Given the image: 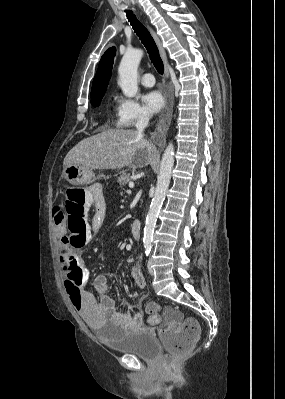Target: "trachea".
Segmentation results:
<instances>
[{
  "label": "trachea",
  "instance_id": "obj_1",
  "mask_svg": "<svg viewBox=\"0 0 285 399\" xmlns=\"http://www.w3.org/2000/svg\"><path fill=\"white\" fill-rule=\"evenodd\" d=\"M126 14L130 24L134 29V32L137 34V36L147 49L151 62L154 64L158 73L162 75L164 71V66L159 56V51L154 39L150 35L149 31L144 27V25L139 20H137L132 11H126Z\"/></svg>",
  "mask_w": 285,
  "mask_h": 399
}]
</instances>
